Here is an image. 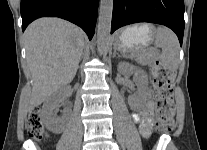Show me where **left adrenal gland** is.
Returning a JSON list of instances; mask_svg holds the SVG:
<instances>
[{
	"label": "left adrenal gland",
	"mask_w": 207,
	"mask_h": 150,
	"mask_svg": "<svg viewBox=\"0 0 207 150\" xmlns=\"http://www.w3.org/2000/svg\"><path fill=\"white\" fill-rule=\"evenodd\" d=\"M116 54H117V52H116V50L114 49V53H113V56H116Z\"/></svg>",
	"instance_id": "left-adrenal-gland-1"
}]
</instances>
